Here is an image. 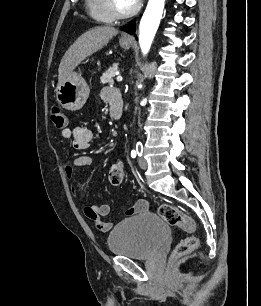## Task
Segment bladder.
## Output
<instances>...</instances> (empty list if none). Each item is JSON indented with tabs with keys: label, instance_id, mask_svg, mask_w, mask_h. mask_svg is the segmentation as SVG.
Segmentation results:
<instances>
[{
	"label": "bladder",
	"instance_id": "1",
	"mask_svg": "<svg viewBox=\"0 0 261 306\" xmlns=\"http://www.w3.org/2000/svg\"><path fill=\"white\" fill-rule=\"evenodd\" d=\"M170 227L155 213H142L120 222L109 234L110 252L131 259H147L168 239Z\"/></svg>",
	"mask_w": 261,
	"mask_h": 306
}]
</instances>
